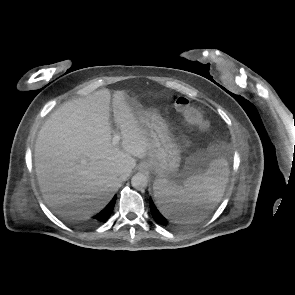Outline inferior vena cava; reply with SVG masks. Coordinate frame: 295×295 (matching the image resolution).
<instances>
[{
  "mask_svg": "<svg viewBox=\"0 0 295 295\" xmlns=\"http://www.w3.org/2000/svg\"><path fill=\"white\" fill-rule=\"evenodd\" d=\"M122 180H125L126 178H127V176L126 175H121V177H120Z\"/></svg>",
  "mask_w": 295,
  "mask_h": 295,
  "instance_id": "1",
  "label": "inferior vena cava"
}]
</instances>
